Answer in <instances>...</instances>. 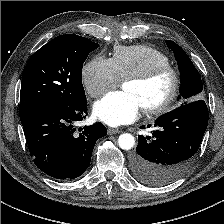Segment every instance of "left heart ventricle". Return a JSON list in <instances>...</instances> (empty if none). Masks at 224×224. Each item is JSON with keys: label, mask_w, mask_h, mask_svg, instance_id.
I'll return each instance as SVG.
<instances>
[{"label": "left heart ventricle", "mask_w": 224, "mask_h": 224, "mask_svg": "<svg viewBox=\"0 0 224 224\" xmlns=\"http://www.w3.org/2000/svg\"><path fill=\"white\" fill-rule=\"evenodd\" d=\"M170 88L171 77L167 73L147 83L127 82L123 85L125 91L139 98L142 108L161 102L169 93Z\"/></svg>", "instance_id": "b2bd125f"}]
</instances>
